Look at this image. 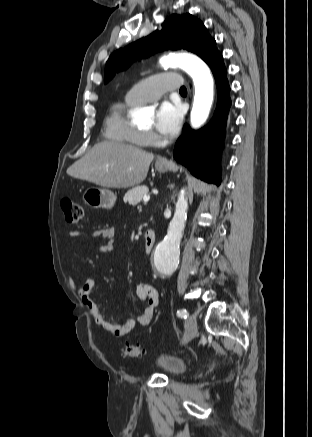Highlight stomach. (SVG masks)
<instances>
[{
    "mask_svg": "<svg viewBox=\"0 0 312 437\" xmlns=\"http://www.w3.org/2000/svg\"><path fill=\"white\" fill-rule=\"evenodd\" d=\"M170 167V163L160 164L156 162L155 168L158 172L164 173ZM116 195L106 188L88 187L83 195V202L93 209H112L116 203Z\"/></svg>",
    "mask_w": 312,
    "mask_h": 437,
    "instance_id": "1",
    "label": "stomach"
}]
</instances>
